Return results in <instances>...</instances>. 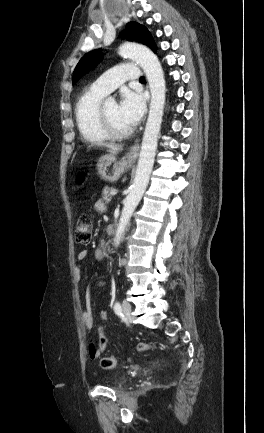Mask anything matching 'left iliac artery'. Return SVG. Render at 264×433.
<instances>
[{
  "label": "left iliac artery",
  "instance_id": "1",
  "mask_svg": "<svg viewBox=\"0 0 264 433\" xmlns=\"http://www.w3.org/2000/svg\"><path fill=\"white\" fill-rule=\"evenodd\" d=\"M114 311L117 315L121 316L122 315V309H121V305L119 302H116L114 305Z\"/></svg>",
  "mask_w": 264,
  "mask_h": 433
}]
</instances>
